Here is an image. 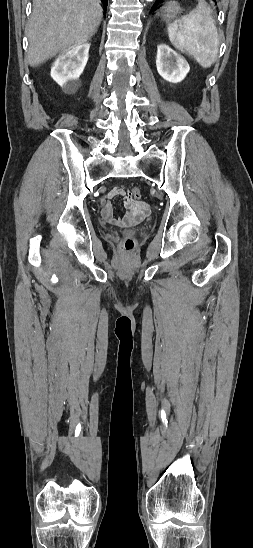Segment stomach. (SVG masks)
<instances>
[{
  "mask_svg": "<svg viewBox=\"0 0 253 548\" xmlns=\"http://www.w3.org/2000/svg\"><path fill=\"white\" fill-rule=\"evenodd\" d=\"M180 12V6L176 2H170L162 8V18L166 21H171Z\"/></svg>",
  "mask_w": 253,
  "mask_h": 548,
  "instance_id": "stomach-1",
  "label": "stomach"
}]
</instances>
